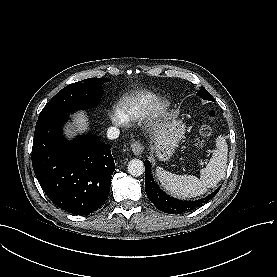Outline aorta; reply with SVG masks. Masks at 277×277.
Returning <instances> with one entry per match:
<instances>
[{
  "mask_svg": "<svg viewBox=\"0 0 277 277\" xmlns=\"http://www.w3.org/2000/svg\"><path fill=\"white\" fill-rule=\"evenodd\" d=\"M127 169L129 174L138 177L144 173L145 167L143 161L140 159H132L129 161Z\"/></svg>",
  "mask_w": 277,
  "mask_h": 277,
  "instance_id": "1",
  "label": "aorta"
}]
</instances>
